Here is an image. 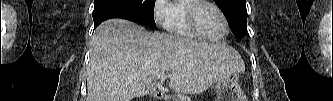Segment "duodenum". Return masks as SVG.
<instances>
[{"instance_id": "1", "label": "duodenum", "mask_w": 333, "mask_h": 101, "mask_svg": "<svg viewBox=\"0 0 333 101\" xmlns=\"http://www.w3.org/2000/svg\"><path fill=\"white\" fill-rule=\"evenodd\" d=\"M154 97H155L157 100H165V99H166V97L164 96V94L161 93V92H156V93L154 94Z\"/></svg>"}]
</instances>
